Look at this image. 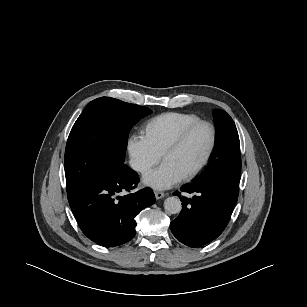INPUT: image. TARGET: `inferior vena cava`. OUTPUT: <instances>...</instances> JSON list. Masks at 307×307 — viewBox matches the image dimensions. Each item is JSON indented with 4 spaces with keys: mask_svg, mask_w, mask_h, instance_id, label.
I'll list each match as a JSON object with an SVG mask.
<instances>
[{
    "mask_svg": "<svg viewBox=\"0 0 307 307\" xmlns=\"http://www.w3.org/2000/svg\"><path fill=\"white\" fill-rule=\"evenodd\" d=\"M130 165L133 169L141 171L144 169V165L135 161V160H130Z\"/></svg>",
    "mask_w": 307,
    "mask_h": 307,
    "instance_id": "602c4592",
    "label": "inferior vena cava"
}]
</instances>
